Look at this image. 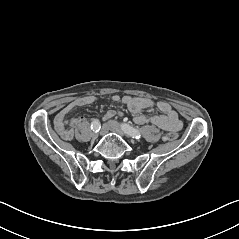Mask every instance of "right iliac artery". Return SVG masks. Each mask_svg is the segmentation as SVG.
<instances>
[{
	"label": "right iliac artery",
	"instance_id": "1",
	"mask_svg": "<svg viewBox=\"0 0 239 239\" xmlns=\"http://www.w3.org/2000/svg\"><path fill=\"white\" fill-rule=\"evenodd\" d=\"M91 129L94 132H98L101 129V124H100L99 120H97V119L93 120V122L91 124Z\"/></svg>",
	"mask_w": 239,
	"mask_h": 239
}]
</instances>
